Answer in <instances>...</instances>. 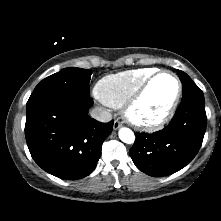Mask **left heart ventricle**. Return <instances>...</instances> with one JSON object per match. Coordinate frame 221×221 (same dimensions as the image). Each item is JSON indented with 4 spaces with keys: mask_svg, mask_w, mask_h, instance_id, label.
<instances>
[{
    "mask_svg": "<svg viewBox=\"0 0 221 221\" xmlns=\"http://www.w3.org/2000/svg\"><path fill=\"white\" fill-rule=\"evenodd\" d=\"M175 80L168 74L157 77L134 110L141 120H155L166 112L176 94Z\"/></svg>",
    "mask_w": 221,
    "mask_h": 221,
    "instance_id": "1",
    "label": "left heart ventricle"
}]
</instances>
